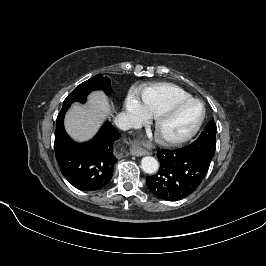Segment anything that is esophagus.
Here are the masks:
<instances>
[{"label":"esophagus","instance_id":"obj_1","mask_svg":"<svg viewBox=\"0 0 266 266\" xmlns=\"http://www.w3.org/2000/svg\"><path fill=\"white\" fill-rule=\"evenodd\" d=\"M130 154L133 156H143L149 154L148 151L140 147L138 144H134L130 149Z\"/></svg>","mask_w":266,"mask_h":266}]
</instances>
